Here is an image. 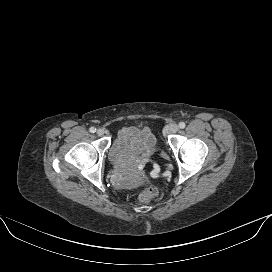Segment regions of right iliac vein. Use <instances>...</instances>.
<instances>
[{
	"instance_id": "right-iliac-vein-1",
	"label": "right iliac vein",
	"mask_w": 272,
	"mask_h": 272,
	"mask_svg": "<svg viewBox=\"0 0 272 272\" xmlns=\"http://www.w3.org/2000/svg\"><path fill=\"white\" fill-rule=\"evenodd\" d=\"M96 134L98 135V136H102L103 134H104V130L103 129H98L97 131H96Z\"/></svg>"
}]
</instances>
